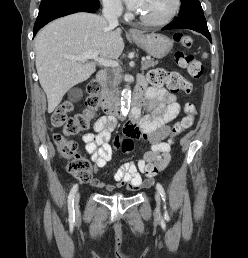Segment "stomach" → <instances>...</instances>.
<instances>
[{
    "label": "stomach",
    "mask_w": 248,
    "mask_h": 258,
    "mask_svg": "<svg viewBox=\"0 0 248 258\" xmlns=\"http://www.w3.org/2000/svg\"><path fill=\"white\" fill-rule=\"evenodd\" d=\"M131 39L149 55L161 59L165 57L173 46V41L162 34H143L132 36Z\"/></svg>",
    "instance_id": "obj_1"
}]
</instances>
